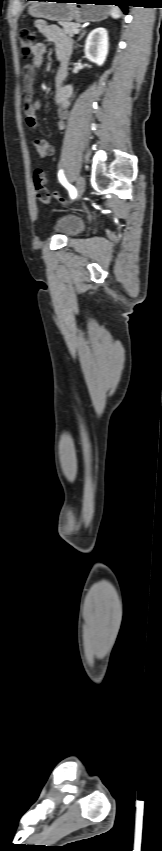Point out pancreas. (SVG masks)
<instances>
[{"label":"pancreas","mask_w":162,"mask_h":851,"mask_svg":"<svg viewBox=\"0 0 162 851\" xmlns=\"http://www.w3.org/2000/svg\"><path fill=\"white\" fill-rule=\"evenodd\" d=\"M59 24L63 27L64 33L69 35V36H73L75 34V32L78 30V28L80 27V25L78 23H72V22H61Z\"/></svg>","instance_id":"cf45deb5"}]
</instances>
